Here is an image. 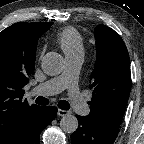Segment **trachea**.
<instances>
[{"instance_id":"1","label":"trachea","mask_w":144,"mask_h":144,"mask_svg":"<svg viewBox=\"0 0 144 144\" xmlns=\"http://www.w3.org/2000/svg\"><path fill=\"white\" fill-rule=\"evenodd\" d=\"M35 102H36V104H39V105H48L49 104V100L42 96L37 97ZM58 107L62 110H69L70 104L65 100H60L58 102Z\"/></svg>"}]
</instances>
